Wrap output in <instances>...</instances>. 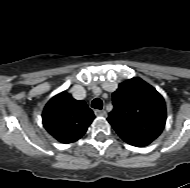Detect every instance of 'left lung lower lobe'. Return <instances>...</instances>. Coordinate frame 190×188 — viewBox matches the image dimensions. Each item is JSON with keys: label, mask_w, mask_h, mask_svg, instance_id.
I'll return each mask as SVG.
<instances>
[{"label": "left lung lower lobe", "mask_w": 190, "mask_h": 188, "mask_svg": "<svg viewBox=\"0 0 190 188\" xmlns=\"http://www.w3.org/2000/svg\"><path fill=\"white\" fill-rule=\"evenodd\" d=\"M113 128L126 143L136 147L147 146L157 138L155 135L137 133L120 127Z\"/></svg>", "instance_id": "1"}]
</instances>
